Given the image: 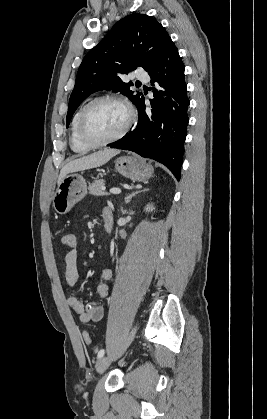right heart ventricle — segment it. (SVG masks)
Segmentation results:
<instances>
[{
  "label": "right heart ventricle",
  "instance_id": "1",
  "mask_svg": "<svg viewBox=\"0 0 267 419\" xmlns=\"http://www.w3.org/2000/svg\"><path fill=\"white\" fill-rule=\"evenodd\" d=\"M82 108H80L73 116L72 123H71V136H70V145L74 152L79 154L87 153L91 150V147L86 146L83 144L77 135V123L79 114L81 112Z\"/></svg>",
  "mask_w": 267,
  "mask_h": 419
}]
</instances>
